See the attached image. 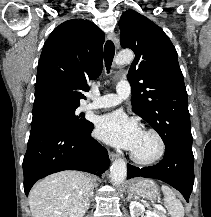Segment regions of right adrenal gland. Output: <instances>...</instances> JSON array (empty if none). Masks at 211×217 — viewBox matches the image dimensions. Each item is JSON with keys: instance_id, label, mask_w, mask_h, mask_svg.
Masks as SVG:
<instances>
[{"instance_id": "2a0ac1e0", "label": "right adrenal gland", "mask_w": 211, "mask_h": 217, "mask_svg": "<svg viewBox=\"0 0 211 217\" xmlns=\"http://www.w3.org/2000/svg\"><path fill=\"white\" fill-rule=\"evenodd\" d=\"M93 194H94V192H93V190H92L91 193H90V195H89L87 208L90 207V198L93 196Z\"/></svg>"}]
</instances>
